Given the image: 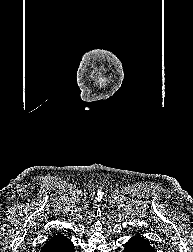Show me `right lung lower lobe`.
Segmentation results:
<instances>
[{"label": "right lung lower lobe", "instance_id": "1", "mask_svg": "<svg viewBox=\"0 0 193 252\" xmlns=\"http://www.w3.org/2000/svg\"><path fill=\"white\" fill-rule=\"evenodd\" d=\"M41 252H75V250L67 237L56 235L47 241Z\"/></svg>", "mask_w": 193, "mask_h": 252}]
</instances>
